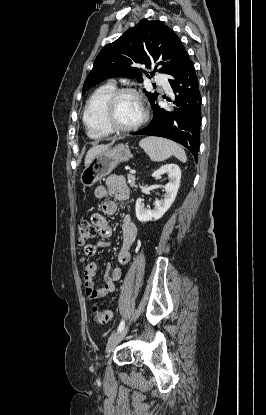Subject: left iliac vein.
<instances>
[{
	"label": "left iliac vein",
	"instance_id": "obj_1",
	"mask_svg": "<svg viewBox=\"0 0 266 415\" xmlns=\"http://www.w3.org/2000/svg\"><path fill=\"white\" fill-rule=\"evenodd\" d=\"M128 331V326L124 327L121 331L113 334L109 339L106 346V351L110 353L116 347V345L125 337Z\"/></svg>",
	"mask_w": 266,
	"mask_h": 415
}]
</instances>
